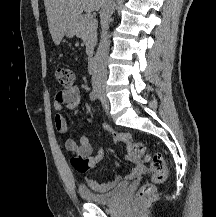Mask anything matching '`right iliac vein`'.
<instances>
[{"mask_svg":"<svg viewBox=\"0 0 216 217\" xmlns=\"http://www.w3.org/2000/svg\"><path fill=\"white\" fill-rule=\"evenodd\" d=\"M97 96L102 100L105 106H107V99L105 97V89L103 87H95L94 89Z\"/></svg>","mask_w":216,"mask_h":217,"instance_id":"1","label":"right iliac vein"}]
</instances>
